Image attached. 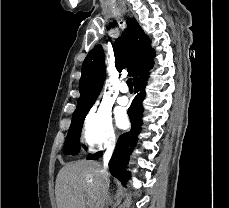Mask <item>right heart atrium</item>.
Listing matches in <instances>:
<instances>
[{"label": "right heart atrium", "instance_id": "d8ad5b80", "mask_svg": "<svg viewBox=\"0 0 229 208\" xmlns=\"http://www.w3.org/2000/svg\"><path fill=\"white\" fill-rule=\"evenodd\" d=\"M81 136L90 151L113 146L117 135L110 112L101 106H93L83 120Z\"/></svg>", "mask_w": 229, "mask_h": 208}]
</instances>
